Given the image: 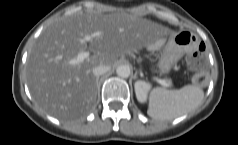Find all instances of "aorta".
Wrapping results in <instances>:
<instances>
[{
    "mask_svg": "<svg viewBox=\"0 0 238 145\" xmlns=\"http://www.w3.org/2000/svg\"><path fill=\"white\" fill-rule=\"evenodd\" d=\"M116 73L119 77L128 78L130 76L131 70L128 65H120L117 67Z\"/></svg>",
    "mask_w": 238,
    "mask_h": 145,
    "instance_id": "aorta-1",
    "label": "aorta"
}]
</instances>
